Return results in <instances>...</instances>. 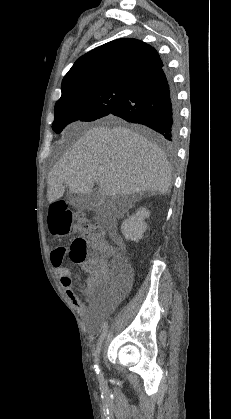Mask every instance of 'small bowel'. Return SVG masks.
<instances>
[{"instance_id": "c3829d8e", "label": "small bowel", "mask_w": 231, "mask_h": 419, "mask_svg": "<svg viewBox=\"0 0 231 419\" xmlns=\"http://www.w3.org/2000/svg\"><path fill=\"white\" fill-rule=\"evenodd\" d=\"M66 254V248L59 247L51 251V262L56 270L57 276L60 280V284L62 288L64 289L66 296L68 299L72 302V304L75 306V308L78 310V312L83 316H87V310L85 305L82 303V301L79 299V297L73 292L72 286H73V279L71 276V273L69 269L64 266L63 259ZM60 259V263L56 262V259ZM127 289V286H124L120 290V295H122ZM93 292V285L89 282V287L85 291L87 295H91ZM86 327L89 332L95 333L99 330L100 325L97 323L94 319H87L86 321Z\"/></svg>"}]
</instances>
